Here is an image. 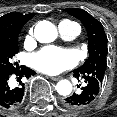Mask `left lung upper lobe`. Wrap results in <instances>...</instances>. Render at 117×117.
Wrapping results in <instances>:
<instances>
[{"label":"left lung upper lobe","instance_id":"5c2ea615","mask_svg":"<svg viewBox=\"0 0 117 117\" xmlns=\"http://www.w3.org/2000/svg\"><path fill=\"white\" fill-rule=\"evenodd\" d=\"M65 11L78 18L85 26L88 34L89 57L85 63L74 70L83 76H93L103 83L107 68V36L102 24L88 12L78 8H68Z\"/></svg>","mask_w":117,"mask_h":117}]
</instances>
